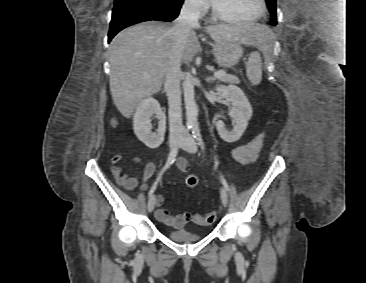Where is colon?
<instances>
[{
	"label": "colon",
	"instance_id": "colon-1",
	"mask_svg": "<svg viewBox=\"0 0 366 283\" xmlns=\"http://www.w3.org/2000/svg\"><path fill=\"white\" fill-rule=\"evenodd\" d=\"M186 185L189 188H195L199 185V178L196 175H190L187 177L186 179ZM188 219L191 218L193 220L194 223L198 224V225H211L215 219H216V214L214 212H209L207 214L201 215V214H194V215H190L187 214Z\"/></svg>",
	"mask_w": 366,
	"mask_h": 283
}]
</instances>
